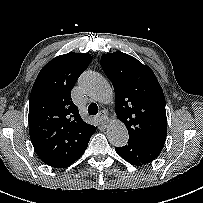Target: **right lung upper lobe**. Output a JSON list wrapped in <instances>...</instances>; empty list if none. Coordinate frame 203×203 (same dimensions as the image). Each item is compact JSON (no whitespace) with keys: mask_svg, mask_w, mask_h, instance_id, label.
Masks as SVG:
<instances>
[{"mask_svg":"<svg viewBox=\"0 0 203 203\" xmlns=\"http://www.w3.org/2000/svg\"><path fill=\"white\" fill-rule=\"evenodd\" d=\"M92 56L70 52L57 56L39 72L29 101L30 139L46 164L64 168L88 146L96 127L84 122L72 102L71 90Z\"/></svg>","mask_w":203,"mask_h":203,"instance_id":"cb5924a9","label":"right lung upper lobe"}]
</instances>
